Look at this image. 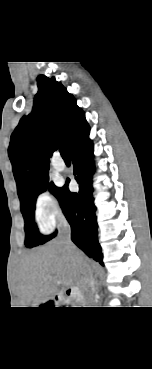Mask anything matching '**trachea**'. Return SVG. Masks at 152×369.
Instances as JSON below:
<instances>
[{
  "mask_svg": "<svg viewBox=\"0 0 152 369\" xmlns=\"http://www.w3.org/2000/svg\"><path fill=\"white\" fill-rule=\"evenodd\" d=\"M60 154L63 159H69V155L65 147L60 148Z\"/></svg>",
  "mask_w": 152,
  "mask_h": 369,
  "instance_id": "trachea-1",
  "label": "trachea"
}]
</instances>
